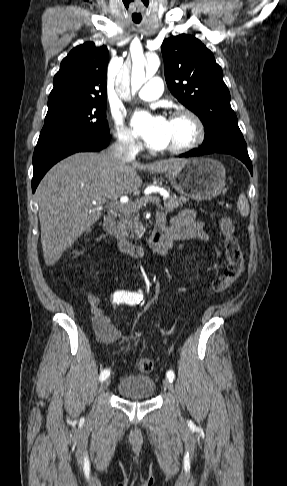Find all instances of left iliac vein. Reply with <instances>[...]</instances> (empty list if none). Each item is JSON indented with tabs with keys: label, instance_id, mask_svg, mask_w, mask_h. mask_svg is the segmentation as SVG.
<instances>
[{
	"label": "left iliac vein",
	"instance_id": "left-iliac-vein-1",
	"mask_svg": "<svg viewBox=\"0 0 287 486\" xmlns=\"http://www.w3.org/2000/svg\"><path fill=\"white\" fill-rule=\"evenodd\" d=\"M163 384L170 392L174 393L173 384L169 379H164Z\"/></svg>",
	"mask_w": 287,
	"mask_h": 486
}]
</instances>
